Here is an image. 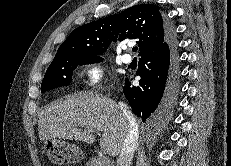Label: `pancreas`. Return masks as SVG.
Returning a JSON list of instances; mask_svg holds the SVG:
<instances>
[{"label":"pancreas","instance_id":"obj_1","mask_svg":"<svg viewBox=\"0 0 231 166\" xmlns=\"http://www.w3.org/2000/svg\"><path fill=\"white\" fill-rule=\"evenodd\" d=\"M85 166H107V165L102 163V158L92 157L87 161Z\"/></svg>","mask_w":231,"mask_h":166}]
</instances>
